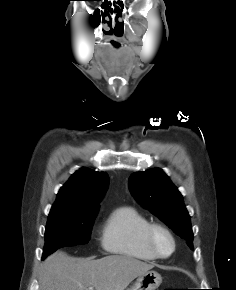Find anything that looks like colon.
I'll use <instances>...</instances> for the list:
<instances>
[{"label":"colon","mask_w":236,"mask_h":290,"mask_svg":"<svg viewBox=\"0 0 236 290\" xmlns=\"http://www.w3.org/2000/svg\"><path fill=\"white\" fill-rule=\"evenodd\" d=\"M164 290H178V289H164Z\"/></svg>","instance_id":"1"}]
</instances>
